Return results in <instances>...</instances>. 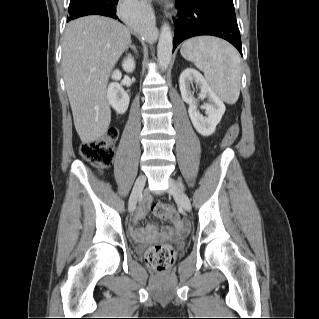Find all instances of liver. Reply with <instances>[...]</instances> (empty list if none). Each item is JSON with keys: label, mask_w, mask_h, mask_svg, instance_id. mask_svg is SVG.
Listing matches in <instances>:
<instances>
[{"label": "liver", "mask_w": 319, "mask_h": 319, "mask_svg": "<svg viewBox=\"0 0 319 319\" xmlns=\"http://www.w3.org/2000/svg\"><path fill=\"white\" fill-rule=\"evenodd\" d=\"M131 43L130 31L118 21L99 15L67 24L62 44V70L74 125L82 143L108 130L111 109L108 78Z\"/></svg>", "instance_id": "6515ba94"}]
</instances>
